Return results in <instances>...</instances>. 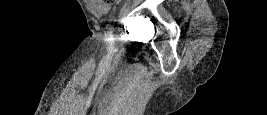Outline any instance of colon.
<instances>
[{"label":"colon","mask_w":267,"mask_h":115,"mask_svg":"<svg viewBox=\"0 0 267 115\" xmlns=\"http://www.w3.org/2000/svg\"><path fill=\"white\" fill-rule=\"evenodd\" d=\"M97 1L104 2L106 4L113 2V0H97Z\"/></svg>","instance_id":"5ec220e1"}]
</instances>
